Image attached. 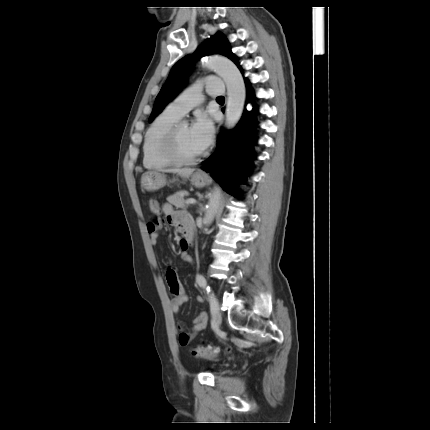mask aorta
<instances>
[{"instance_id":"1","label":"aorta","mask_w":430,"mask_h":430,"mask_svg":"<svg viewBox=\"0 0 430 430\" xmlns=\"http://www.w3.org/2000/svg\"><path fill=\"white\" fill-rule=\"evenodd\" d=\"M204 66L214 71L224 80L227 87L226 127L233 128L242 116L246 97L245 84L239 69L227 58L220 55H211ZM220 190H215L210 196L204 223L210 224L220 206Z\"/></svg>"}]
</instances>
